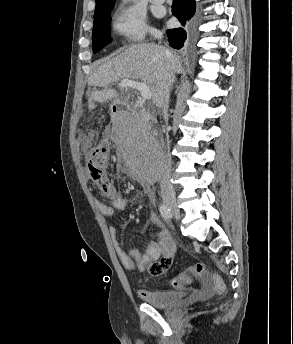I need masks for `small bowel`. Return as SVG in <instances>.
<instances>
[{"mask_svg":"<svg viewBox=\"0 0 293 344\" xmlns=\"http://www.w3.org/2000/svg\"><path fill=\"white\" fill-rule=\"evenodd\" d=\"M79 144L82 150L86 151L90 146V139L86 135H79ZM126 207V200L118 195L112 198L111 204L99 203L98 208L100 212L108 217L114 216L115 210H122ZM149 221L160 228L158 232V241H149L144 250L133 247L130 251H125L117 239L118 229L114 226L109 228V233L112 238L114 250L121 261V263L129 270L143 272L146 271L152 276H159L164 274L171 266L176 245L169 233L163 228L159 217L152 214ZM200 286L193 290L191 299L197 300L211 296L215 292L214 283L208 277L197 276ZM188 280L184 286L178 288H185L190 283ZM140 295H143L141 290Z\"/></svg>","mask_w":293,"mask_h":344,"instance_id":"obj_1","label":"small bowel"}]
</instances>
